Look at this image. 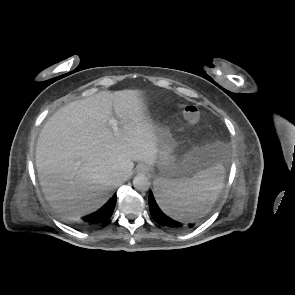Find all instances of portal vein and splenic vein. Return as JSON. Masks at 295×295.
<instances>
[{
  "label": "portal vein and splenic vein",
  "mask_w": 295,
  "mask_h": 295,
  "mask_svg": "<svg viewBox=\"0 0 295 295\" xmlns=\"http://www.w3.org/2000/svg\"><path fill=\"white\" fill-rule=\"evenodd\" d=\"M109 125L111 126L114 135L118 136L120 134V129L118 127V121L115 118L111 117L109 119Z\"/></svg>",
  "instance_id": "1"
}]
</instances>
